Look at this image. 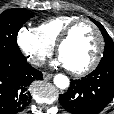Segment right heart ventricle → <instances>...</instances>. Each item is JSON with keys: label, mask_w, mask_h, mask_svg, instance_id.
Returning <instances> with one entry per match:
<instances>
[{"label": "right heart ventricle", "mask_w": 114, "mask_h": 114, "mask_svg": "<svg viewBox=\"0 0 114 114\" xmlns=\"http://www.w3.org/2000/svg\"><path fill=\"white\" fill-rule=\"evenodd\" d=\"M80 18L75 15H61L41 22L35 30L48 44L54 46L63 30L74 20Z\"/></svg>", "instance_id": "right-heart-ventricle-1"}]
</instances>
